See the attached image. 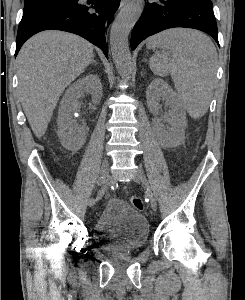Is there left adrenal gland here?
<instances>
[{
    "label": "left adrenal gland",
    "mask_w": 245,
    "mask_h": 300,
    "mask_svg": "<svg viewBox=\"0 0 245 300\" xmlns=\"http://www.w3.org/2000/svg\"><path fill=\"white\" fill-rule=\"evenodd\" d=\"M143 61H144V62H147V60H146V59H144Z\"/></svg>",
    "instance_id": "left-adrenal-gland-1"
}]
</instances>
